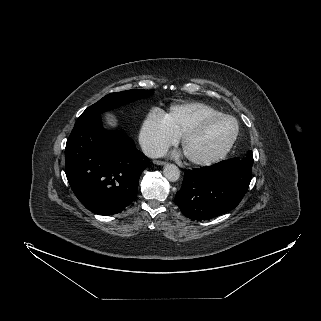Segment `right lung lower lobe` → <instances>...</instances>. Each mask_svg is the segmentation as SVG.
<instances>
[{
  "instance_id": "obj_1",
  "label": "right lung lower lobe",
  "mask_w": 321,
  "mask_h": 321,
  "mask_svg": "<svg viewBox=\"0 0 321 321\" xmlns=\"http://www.w3.org/2000/svg\"><path fill=\"white\" fill-rule=\"evenodd\" d=\"M65 155V173L74 194L99 215L124 210L135 199L139 177L149 165L133 140L105 130L100 116L76 121Z\"/></svg>"
}]
</instances>
